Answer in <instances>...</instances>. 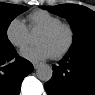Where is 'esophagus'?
Returning <instances> with one entry per match:
<instances>
[{"mask_svg":"<svg viewBox=\"0 0 95 95\" xmlns=\"http://www.w3.org/2000/svg\"><path fill=\"white\" fill-rule=\"evenodd\" d=\"M33 66L35 69H37L39 67V62H33Z\"/></svg>","mask_w":95,"mask_h":95,"instance_id":"esophagus-1","label":"esophagus"}]
</instances>
